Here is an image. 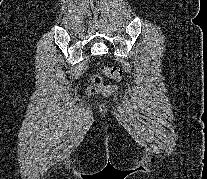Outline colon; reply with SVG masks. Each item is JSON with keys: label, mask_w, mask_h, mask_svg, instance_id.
<instances>
[{"label": "colon", "mask_w": 207, "mask_h": 179, "mask_svg": "<svg viewBox=\"0 0 207 179\" xmlns=\"http://www.w3.org/2000/svg\"><path fill=\"white\" fill-rule=\"evenodd\" d=\"M104 73L114 79V80H120L123 76V70L119 67L112 66L107 67L104 69ZM104 90V84L99 75H92L91 76V84L87 88V93L89 95H96Z\"/></svg>", "instance_id": "5ec220e1"}]
</instances>
